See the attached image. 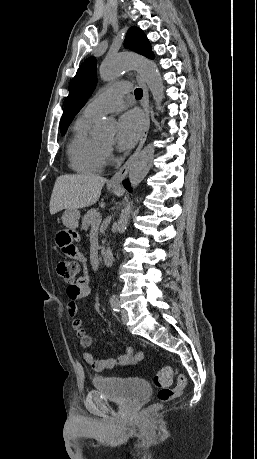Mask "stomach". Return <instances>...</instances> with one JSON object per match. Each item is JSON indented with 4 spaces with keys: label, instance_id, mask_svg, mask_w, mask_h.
Returning a JSON list of instances; mask_svg holds the SVG:
<instances>
[{
    "label": "stomach",
    "instance_id": "1",
    "mask_svg": "<svg viewBox=\"0 0 257 459\" xmlns=\"http://www.w3.org/2000/svg\"><path fill=\"white\" fill-rule=\"evenodd\" d=\"M80 211L78 209H67L63 213V224L69 229H75L79 225Z\"/></svg>",
    "mask_w": 257,
    "mask_h": 459
}]
</instances>
